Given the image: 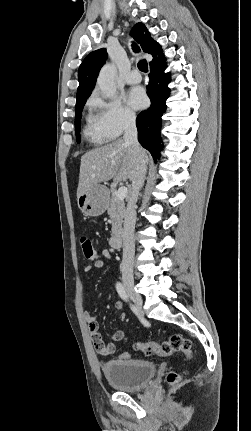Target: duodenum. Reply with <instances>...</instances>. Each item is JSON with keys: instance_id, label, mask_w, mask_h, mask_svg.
Here are the masks:
<instances>
[{"instance_id": "obj_1", "label": "duodenum", "mask_w": 251, "mask_h": 431, "mask_svg": "<svg viewBox=\"0 0 251 431\" xmlns=\"http://www.w3.org/2000/svg\"><path fill=\"white\" fill-rule=\"evenodd\" d=\"M124 243V234L121 230L114 233L110 239V244L115 249H121Z\"/></svg>"}]
</instances>
